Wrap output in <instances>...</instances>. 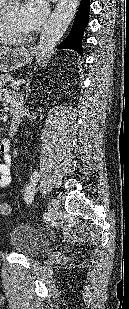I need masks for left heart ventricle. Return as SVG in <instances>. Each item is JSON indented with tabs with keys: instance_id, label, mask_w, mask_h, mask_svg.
I'll return each mask as SVG.
<instances>
[{
	"instance_id": "b2bd125f",
	"label": "left heart ventricle",
	"mask_w": 129,
	"mask_h": 309,
	"mask_svg": "<svg viewBox=\"0 0 129 309\" xmlns=\"http://www.w3.org/2000/svg\"><path fill=\"white\" fill-rule=\"evenodd\" d=\"M13 16H14V19H15V21H16V14H12ZM19 20V19H18ZM18 24V26H19V23H17Z\"/></svg>"
}]
</instances>
